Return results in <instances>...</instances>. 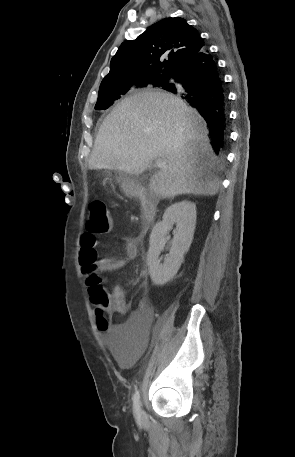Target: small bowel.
Returning a JSON list of instances; mask_svg holds the SVG:
<instances>
[{
  "instance_id": "1",
  "label": "small bowel",
  "mask_w": 295,
  "mask_h": 457,
  "mask_svg": "<svg viewBox=\"0 0 295 457\" xmlns=\"http://www.w3.org/2000/svg\"><path fill=\"white\" fill-rule=\"evenodd\" d=\"M98 239L90 231L82 233L80 238V264L95 265L100 271H113L124 267L133 259L138 250L139 239L134 237H121L119 244L126 253L123 258L104 257L99 258L97 253ZM112 311L118 315H127L124 323L109 325L106 338H138V334L146 333L152 323L154 312L150 304L142 302L136 312L128 315L125 294L119 284L113 286L111 295ZM113 348V347H112Z\"/></svg>"
}]
</instances>
